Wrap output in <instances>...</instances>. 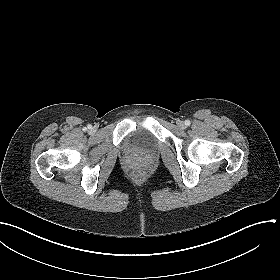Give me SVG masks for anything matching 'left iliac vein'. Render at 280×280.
Listing matches in <instances>:
<instances>
[{
	"label": "left iliac vein",
	"mask_w": 280,
	"mask_h": 280,
	"mask_svg": "<svg viewBox=\"0 0 280 280\" xmlns=\"http://www.w3.org/2000/svg\"><path fill=\"white\" fill-rule=\"evenodd\" d=\"M177 125H178L179 127H181V128L184 126V124H183L182 121H178Z\"/></svg>",
	"instance_id": "4c4485c4"
}]
</instances>
